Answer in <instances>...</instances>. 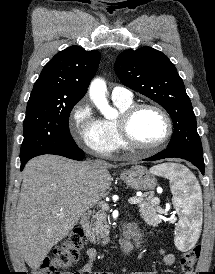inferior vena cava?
<instances>
[{
  "label": "inferior vena cava",
  "instance_id": "602c4592",
  "mask_svg": "<svg viewBox=\"0 0 215 274\" xmlns=\"http://www.w3.org/2000/svg\"><path fill=\"white\" fill-rule=\"evenodd\" d=\"M95 164H96V165H105L106 162H104V161H102V160H97V161H95Z\"/></svg>",
  "mask_w": 215,
  "mask_h": 274
}]
</instances>
